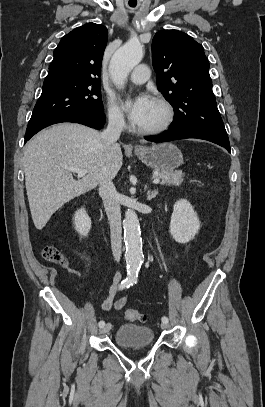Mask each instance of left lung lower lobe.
<instances>
[{"mask_svg": "<svg viewBox=\"0 0 265 407\" xmlns=\"http://www.w3.org/2000/svg\"><path fill=\"white\" fill-rule=\"evenodd\" d=\"M185 138H197L207 140L213 143H216L220 146L225 147L227 150L230 151V143L229 140H222L216 138L214 136L208 135L206 133H202L195 130H169L168 132L156 135V136H148L145 137L148 141H155V142H166L171 140H178V139H185Z\"/></svg>", "mask_w": 265, "mask_h": 407, "instance_id": "0a47b994", "label": "left lung lower lobe"}]
</instances>
